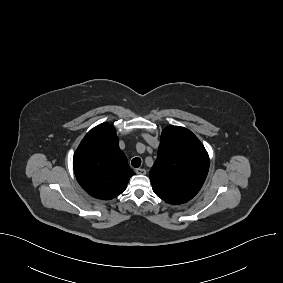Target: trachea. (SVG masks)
Listing matches in <instances>:
<instances>
[{
	"label": "trachea",
	"mask_w": 283,
	"mask_h": 283,
	"mask_svg": "<svg viewBox=\"0 0 283 283\" xmlns=\"http://www.w3.org/2000/svg\"><path fill=\"white\" fill-rule=\"evenodd\" d=\"M131 164L134 168H138L141 165V159L138 158V157L133 158L132 161H131Z\"/></svg>",
	"instance_id": "trachea-1"
}]
</instances>
